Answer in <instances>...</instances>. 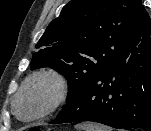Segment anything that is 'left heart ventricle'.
<instances>
[{
    "label": "left heart ventricle",
    "mask_w": 151,
    "mask_h": 131,
    "mask_svg": "<svg viewBox=\"0 0 151 131\" xmlns=\"http://www.w3.org/2000/svg\"><path fill=\"white\" fill-rule=\"evenodd\" d=\"M54 89L51 83L41 82L31 86L22 96L19 110L22 116H30L48 104Z\"/></svg>",
    "instance_id": "b2bd125f"
}]
</instances>
